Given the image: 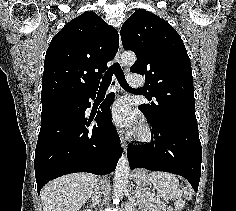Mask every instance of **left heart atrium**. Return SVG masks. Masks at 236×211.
I'll return each instance as SVG.
<instances>
[{
	"instance_id": "39dd6f15",
	"label": "left heart atrium",
	"mask_w": 236,
	"mask_h": 211,
	"mask_svg": "<svg viewBox=\"0 0 236 211\" xmlns=\"http://www.w3.org/2000/svg\"><path fill=\"white\" fill-rule=\"evenodd\" d=\"M110 113L114 122L121 127H134L137 125L136 114L126 99L122 98L116 101L112 105Z\"/></svg>"
}]
</instances>
